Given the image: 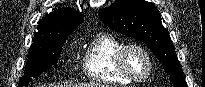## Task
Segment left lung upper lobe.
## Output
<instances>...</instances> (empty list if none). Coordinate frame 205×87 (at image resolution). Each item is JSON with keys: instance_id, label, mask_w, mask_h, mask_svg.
Returning <instances> with one entry per match:
<instances>
[{"instance_id": "obj_1", "label": "left lung upper lobe", "mask_w": 205, "mask_h": 87, "mask_svg": "<svg viewBox=\"0 0 205 87\" xmlns=\"http://www.w3.org/2000/svg\"><path fill=\"white\" fill-rule=\"evenodd\" d=\"M98 15L111 29L145 43L162 63L175 87H188L171 38L153 3L116 0L111 6L100 9Z\"/></svg>"}]
</instances>
